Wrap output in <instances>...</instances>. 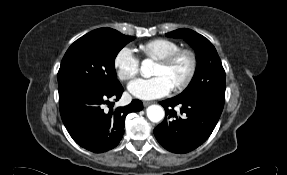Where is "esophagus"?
<instances>
[{
  "mask_svg": "<svg viewBox=\"0 0 287 175\" xmlns=\"http://www.w3.org/2000/svg\"><path fill=\"white\" fill-rule=\"evenodd\" d=\"M153 102H151V101H144L143 102V106L144 107H147V106H149L150 104H152Z\"/></svg>",
  "mask_w": 287,
  "mask_h": 175,
  "instance_id": "1",
  "label": "esophagus"
}]
</instances>
